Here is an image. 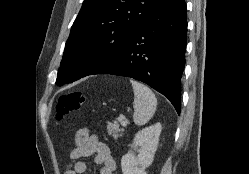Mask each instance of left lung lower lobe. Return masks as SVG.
Returning <instances> with one entry per match:
<instances>
[{"instance_id":"left-lung-lower-lobe-1","label":"left lung lower lobe","mask_w":249,"mask_h":174,"mask_svg":"<svg viewBox=\"0 0 249 174\" xmlns=\"http://www.w3.org/2000/svg\"><path fill=\"white\" fill-rule=\"evenodd\" d=\"M186 12L184 0H160L123 53L96 74L142 81L166 96L180 114L187 40Z\"/></svg>"}]
</instances>
